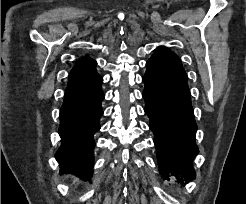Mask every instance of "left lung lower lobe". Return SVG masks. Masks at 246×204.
I'll return each instance as SVG.
<instances>
[{"label":"left lung lower lobe","instance_id":"obj_1","mask_svg":"<svg viewBox=\"0 0 246 204\" xmlns=\"http://www.w3.org/2000/svg\"><path fill=\"white\" fill-rule=\"evenodd\" d=\"M146 67L143 98L155 136L159 172L165 179L175 177L188 183L196 175L192 159L198 147L187 75L178 56L165 47L155 50Z\"/></svg>","mask_w":246,"mask_h":204}]
</instances>
